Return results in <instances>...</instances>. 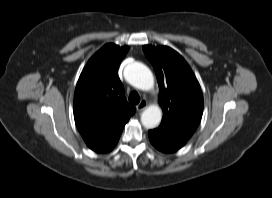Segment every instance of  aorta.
I'll return each mask as SVG.
<instances>
[{
  "mask_svg": "<svg viewBox=\"0 0 272 198\" xmlns=\"http://www.w3.org/2000/svg\"><path fill=\"white\" fill-rule=\"evenodd\" d=\"M125 79L134 87L141 90H150L154 86V77L151 70L140 62H132L125 67ZM162 119L159 106L151 105L141 114V123L147 129L157 127Z\"/></svg>",
  "mask_w": 272,
  "mask_h": 198,
  "instance_id": "aorta-1",
  "label": "aorta"
}]
</instances>
